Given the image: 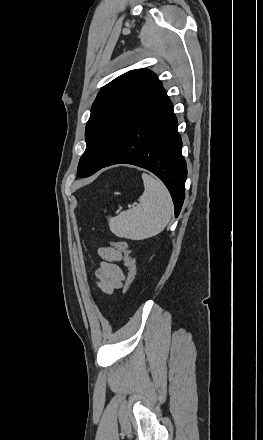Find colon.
I'll use <instances>...</instances> for the list:
<instances>
[{
	"label": "colon",
	"mask_w": 263,
	"mask_h": 440,
	"mask_svg": "<svg viewBox=\"0 0 263 440\" xmlns=\"http://www.w3.org/2000/svg\"><path fill=\"white\" fill-rule=\"evenodd\" d=\"M113 248L123 255V262L128 271L126 291L132 286L137 274V267L127 242L122 240H114L111 242Z\"/></svg>",
	"instance_id": "obj_1"
}]
</instances>
